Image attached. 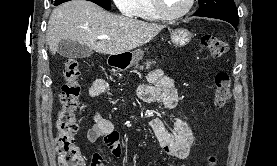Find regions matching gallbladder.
<instances>
[{
  "mask_svg": "<svg viewBox=\"0 0 277 166\" xmlns=\"http://www.w3.org/2000/svg\"><path fill=\"white\" fill-rule=\"evenodd\" d=\"M58 53L67 58H86L93 54L90 47L72 40H62L58 44Z\"/></svg>",
  "mask_w": 277,
  "mask_h": 166,
  "instance_id": "bac80fb5",
  "label": "gallbladder"
}]
</instances>
